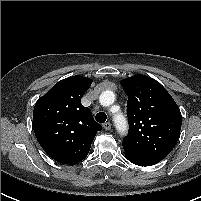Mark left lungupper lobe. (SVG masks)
<instances>
[{
    "label": "left lung upper lobe",
    "instance_id": "5c2ea615",
    "mask_svg": "<svg viewBox=\"0 0 201 201\" xmlns=\"http://www.w3.org/2000/svg\"><path fill=\"white\" fill-rule=\"evenodd\" d=\"M127 100L128 135L123 140L126 158L139 166L164 159L180 135V109L156 80L135 75L121 82Z\"/></svg>",
    "mask_w": 201,
    "mask_h": 201
}]
</instances>
